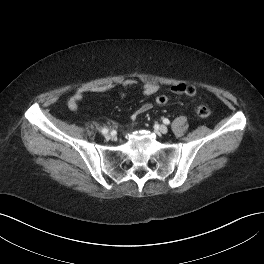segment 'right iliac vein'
<instances>
[{
  "label": "right iliac vein",
  "instance_id": "1",
  "mask_svg": "<svg viewBox=\"0 0 264 264\" xmlns=\"http://www.w3.org/2000/svg\"><path fill=\"white\" fill-rule=\"evenodd\" d=\"M105 137H106V138H109V137H110V134L106 133V134H105Z\"/></svg>",
  "mask_w": 264,
  "mask_h": 264
}]
</instances>
